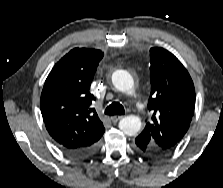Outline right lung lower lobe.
I'll list each match as a JSON object with an SVG mask.
<instances>
[{"instance_id": "98d812e1", "label": "right lung lower lobe", "mask_w": 223, "mask_h": 188, "mask_svg": "<svg viewBox=\"0 0 223 188\" xmlns=\"http://www.w3.org/2000/svg\"><path fill=\"white\" fill-rule=\"evenodd\" d=\"M97 146H98V143L86 148L69 149V148H64L62 146H60V148L65 154L73 158L81 159V158H86L90 156L92 153H94L95 150L97 149Z\"/></svg>"}]
</instances>
